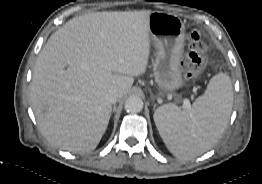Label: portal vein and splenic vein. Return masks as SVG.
Wrapping results in <instances>:
<instances>
[{"instance_id":"portal-vein-and-splenic-vein-1","label":"portal vein and splenic vein","mask_w":262,"mask_h":184,"mask_svg":"<svg viewBox=\"0 0 262 184\" xmlns=\"http://www.w3.org/2000/svg\"><path fill=\"white\" fill-rule=\"evenodd\" d=\"M183 104L185 108H188L190 106V103L187 99L184 100Z\"/></svg>"}]
</instances>
